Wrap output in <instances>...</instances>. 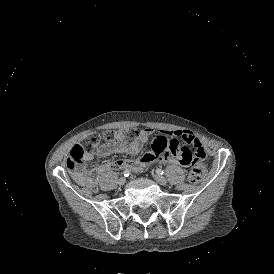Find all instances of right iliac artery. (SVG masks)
<instances>
[{"label": "right iliac artery", "instance_id": "1", "mask_svg": "<svg viewBox=\"0 0 274 274\" xmlns=\"http://www.w3.org/2000/svg\"><path fill=\"white\" fill-rule=\"evenodd\" d=\"M130 170H128V169H126L125 171H124V176L125 177H128L129 175H130Z\"/></svg>", "mask_w": 274, "mask_h": 274}]
</instances>
